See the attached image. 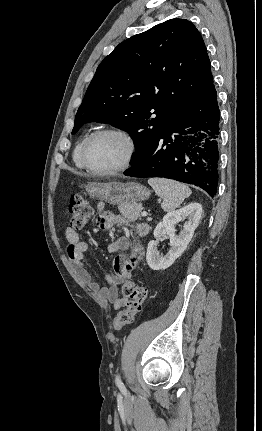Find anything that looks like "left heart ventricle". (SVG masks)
Instances as JSON below:
<instances>
[{
	"instance_id": "b2bd125f",
	"label": "left heart ventricle",
	"mask_w": 262,
	"mask_h": 431,
	"mask_svg": "<svg viewBox=\"0 0 262 431\" xmlns=\"http://www.w3.org/2000/svg\"><path fill=\"white\" fill-rule=\"evenodd\" d=\"M126 153V142L120 136L103 134L94 138L90 143L87 161L94 169H112L123 162Z\"/></svg>"
}]
</instances>
